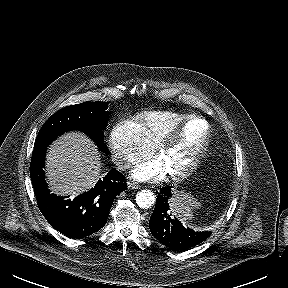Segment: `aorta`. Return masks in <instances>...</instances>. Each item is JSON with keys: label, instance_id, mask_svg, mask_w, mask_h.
Returning a JSON list of instances; mask_svg holds the SVG:
<instances>
[{"label": "aorta", "instance_id": "obj_1", "mask_svg": "<svg viewBox=\"0 0 288 288\" xmlns=\"http://www.w3.org/2000/svg\"><path fill=\"white\" fill-rule=\"evenodd\" d=\"M155 195L150 190H141L136 194V203L142 209L150 208L155 203Z\"/></svg>", "mask_w": 288, "mask_h": 288}]
</instances>
